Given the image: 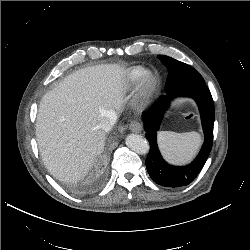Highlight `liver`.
Masks as SVG:
<instances>
[{
	"mask_svg": "<svg viewBox=\"0 0 250 250\" xmlns=\"http://www.w3.org/2000/svg\"><path fill=\"white\" fill-rule=\"evenodd\" d=\"M125 69L101 64L64 78L41 99L36 120L40 155L50 174L63 182L83 178L105 145L101 121L119 111Z\"/></svg>",
	"mask_w": 250,
	"mask_h": 250,
	"instance_id": "liver-1",
	"label": "liver"
}]
</instances>
